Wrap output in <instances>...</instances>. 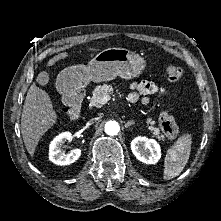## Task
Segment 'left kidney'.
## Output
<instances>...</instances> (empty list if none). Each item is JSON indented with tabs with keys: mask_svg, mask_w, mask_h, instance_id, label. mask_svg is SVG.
<instances>
[{
	"mask_svg": "<svg viewBox=\"0 0 221 221\" xmlns=\"http://www.w3.org/2000/svg\"><path fill=\"white\" fill-rule=\"evenodd\" d=\"M131 150L135 157L146 164H155L161 158V149L154 139L138 136L131 142Z\"/></svg>",
	"mask_w": 221,
	"mask_h": 221,
	"instance_id": "1",
	"label": "left kidney"
}]
</instances>
